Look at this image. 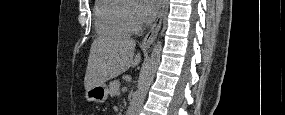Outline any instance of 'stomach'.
I'll return each instance as SVG.
<instances>
[{
    "label": "stomach",
    "instance_id": "obj_1",
    "mask_svg": "<svg viewBox=\"0 0 285 115\" xmlns=\"http://www.w3.org/2000/svg\"><path fill=\"white\" fill-rule=\"evenodd\" d=\"M108 98V87L106 84L96 85L86 90L85 99L88 102L104 103Z\"/></svg>",
    "mask_w": 285,
    "mask_h": 115
}]
</instances>
